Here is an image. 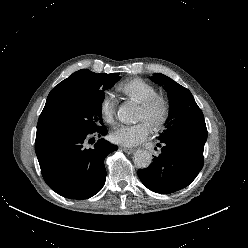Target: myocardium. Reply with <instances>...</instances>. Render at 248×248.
Wrapping results in <instances>:
<instances>
[{
    "label": "myocardium",
    "instance_id": "f54148a6",
    "mask_svg": "<svg viewBox=\"0 0 248 248\" xmlns=\"http://www.w3.org/2000/svg\"><path fill=\"white\" fill-rule=\"evenodd\" d=\"M139 107L147 114L152 115L156 110L158 115L151 119V126L154 130H160L170 119L171 104L168 98L160 94H156L145 101L139 103Z\"/></svg>",
    "mask_w": 248,
    "mask_h": 248
}]
</instances>
